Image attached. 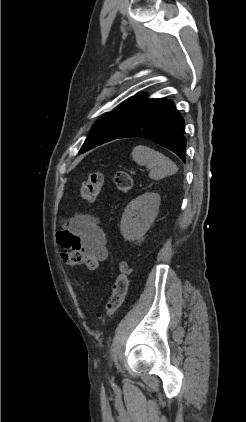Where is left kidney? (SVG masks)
Wrapping results in <instances>:
<instances>
[{
	"label": "left kidney",
	"mask_w": 246,
	"mask_h": 422,
	"mask_svg": "<svg viewBox=\"0 0 246 422\" xmlns=\"http://www.w3.org/2000/svg\"><path fill=\"white\" fill-rule=\"evenodd\" d=\"M160 195L145 193L132 200L124 210L120 231L127 241L141 240L158 215Z\"/></svg>",
	"instance_id": "obj_1"
}]
</instances>
